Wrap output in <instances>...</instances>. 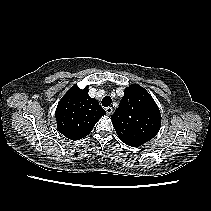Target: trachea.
Wrapping results in <instances>:
<instances>
[{"label":"trachea","instance_id":"obj_1","mask_svg":"<svg viewBox=\"0 0 211 211\" xmlns=\"http://www.w3.org/2000/svg\"><path fill=\"white\" fill-rule=\"evenodd\" d=\"M102 105L104 107H108L110 106V104L112 103V99L110 98V96H105L103 99H102Z\"/></svg>","mask_w":211,"mask_h":211}]
</instances>
